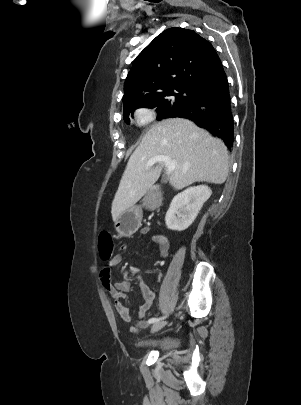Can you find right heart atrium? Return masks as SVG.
<instances>
[{
  "mask_svg": "<svg viewBox=\"0 0 301 405\" xmlns=\"http://www.w3.org/2000/svg\"><path fill=\"white\" fill-rule=\"evenodd\" d=\"M155 117L153 109L142 107L136 110L134 114L135 121L138 125L143 126L150 123Z\"/></svg>",
  "mask_w": 301,
  "mask_h": 405,
  "instance_id": "right-heart-atrium-1",
  "label": "right heart atrium"
}]
</instances>
